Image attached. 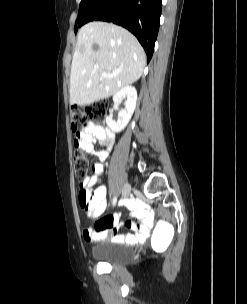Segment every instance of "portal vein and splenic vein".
<instances>
[{"label": "portal vein and splenic vein", "instance_id": "obj_1", "mask_svg": "<svg viewBox=\"0 0 247 304\" xmlns=\"http://www.w3.org/2000/svg\"><path fill=\"white\" fill-rule=\"evenodd\" d=\"M95 68L97 69V68H98V66H95ZM101 75H102V77H109V76H110V75H109V74H107V73H102Z\"/></svg>", "mask_w": 247, "mask_h": 304}]
</instances>
